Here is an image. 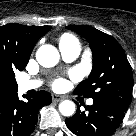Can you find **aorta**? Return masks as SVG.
<instances>
[{"label": "aorta", "mask_w": 136, "mask_h": 136, "mask_svg": "<svg viewBox=\"0 0 136 136\" xmlns=\"http://www.w3.org/2000/svg\"><path fill=\"white\" fill-rule=\"evenodd\" d=\"M59 52L52 45H42L36 52V59L43 67H53L59 62ZM59 111L64 116H72L75 112V104L73 101L64 100L59 104Z\"/></svg>", "instance_id": "1"}]
</instances>
